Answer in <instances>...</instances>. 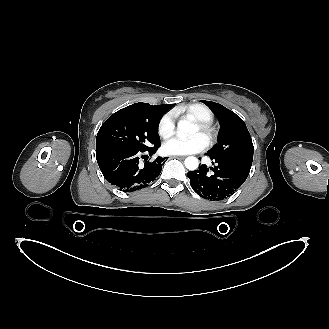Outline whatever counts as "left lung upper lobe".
<instances>
[{
  "label": "left lung upper lobe",
  "mask_w": 329,
  "mask_h": 329,
  "mask_svg": "<svg viewBox=\"0 0 329 329\" xmlns=\"http://www.w3.org/2000/svg\"><path fill=\"white\" fill-rule=\"evenodd\" d=\"M206 104L220 120L218 144L208 152L212 158H223L252 165L254 147L244 121L234 112L211 101Z\"/></svg>",
  "instance_id": "obj_1"
}]
</instances>
